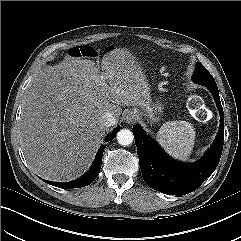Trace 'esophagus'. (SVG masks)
<instances>
[{
    "mask_svg": "<svg viewBox=\"0 0 241 241\" xmlns=\"http://www.w3.org/2000/svg\"><path fill=\"white\" fill-rule=\"evenodd\" d=\"M126 122L128 124H134L135 121L137 120V115H135L134 113L132 112H129L127 115H126Z\"/></svg>",
    "mask_w": 241,
    "mask_h": 241,
    "instance_id": "obj_1",
    "label": "esophagus"
}]
</instances>
